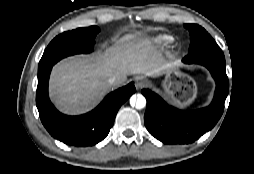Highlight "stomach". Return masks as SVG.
I'll return each mask as SVG.
<instances>
[{"label":"stomach","mask_w":254,"mask_h":174,"mask_svg":"<svg viewBox=\"0 0 254 174\" xmlns=\"http://www.w3.org/2000/svg\"><path fill=\"white\" fill-rule=\"evenodd\" d=\"M165 93L172 98L179 107L190 105L197 95L195 80L179 70H170L163 82Z\"/></svg>","instance_id":"obj_1"}]
</instances>
